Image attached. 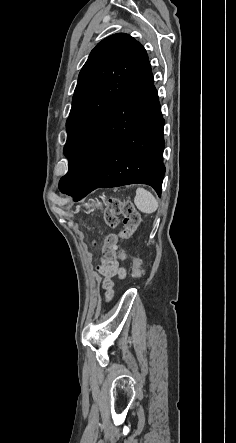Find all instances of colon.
<instances>
[{
	"label": "colon",
	"mask_w": 236,
	"mask_h": 443,
	"mask_svg": "<svg viewBox=\"0 0 236 443\" xmlns=\"http://www.w3.org/2000/svg\"><path fill=\"white\" fill-rule=\"evenodd\" d=\"M120 215L124 217V229L118 233L110 232L104 237L102 252L106 260H126L129 257L123 249L119 248L118 244L121 239L129 238L140 222V215L131 202L110 198L104 216L106 225L110 229H115L118 226ZM132 264V276L140 278L143 274L140 259L133 257Z\"/></svg>",
	"instance_id": "colon-1"
}]
</instances>
